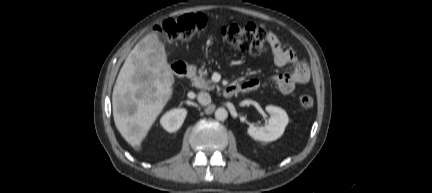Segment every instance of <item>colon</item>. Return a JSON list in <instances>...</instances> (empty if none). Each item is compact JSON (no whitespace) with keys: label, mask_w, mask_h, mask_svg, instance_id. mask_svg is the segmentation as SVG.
<instances>
[{"label":"colon","mask_w":432,"mask_h":193,"mask_svg":"<svg viewBox=\"0 0 432 193\" xmlns=\"http://www.w3.org/2000/svg\"><path fill=\"white\" fill-rule=\"evenodd\" d=\"M206 26V18L201 13L187 14L170 18L159 24L156 29L170 42L189 41ZM220 36L234 50L259 55L267 50V32L252 23L227 24L220 28ZM301 107L309 109L314 104L313 95L305 91L299 97Z\"/></svg>","instance_id":"5ec220e1"}]
</instances>
